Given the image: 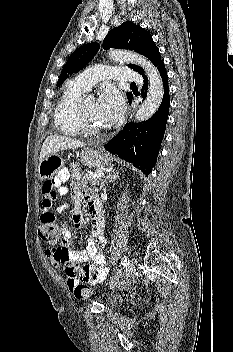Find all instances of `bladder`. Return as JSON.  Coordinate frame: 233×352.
<instances>
[{"label": "bladder", "mask_w": 233, "mask_h": 352, "mask_svg": "<svg viewBox=\"0 0 233 352\" xmlns=\"http://www.w3.org/2000/svg\"><path fill=\"white\" fill-rule=\"evenodd\" d=\"M107 300H108L109 305H111V306H117L121 302V299L117 294L108 295Z\"/></svg>", "instance_id": "1"}]
</instances>
